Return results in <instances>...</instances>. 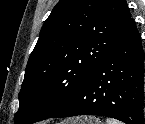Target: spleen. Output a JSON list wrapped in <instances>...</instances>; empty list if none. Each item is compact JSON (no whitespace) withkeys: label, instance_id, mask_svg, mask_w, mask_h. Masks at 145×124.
I'll return each mask as SVG.
<instances>
[{"label":"spleen","instance_id":"3e777b00","mask_svg":"<svg viewBox=\"0 0 145 124\" xmlns=\"http://www.w3.org/2000/svg\"><path fill=\"white\" fill-rule=\"evenodd\" d=\"M107 124H122V123L114 119H107Z\"/></svg>","mask_w":145,"mask_h":124}]
</instances>
